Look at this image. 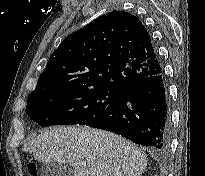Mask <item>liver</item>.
Here are the masks:
<instances>
[{"label":"liver","instance_id":"1","mask_svg":"<svg viewBox=\"0 0 205 176\" xmlns=\"http://www.w3.org/2000/svg\"><path fill=\"white\" fill-rule=\"evenodd\" d=\"M22 150L42 163L72 165L73 176H140L147 167V155L134 143L90 127L50 128Z\"/></svg>","mask_w":205,"mask_h":176}]
</instances>
